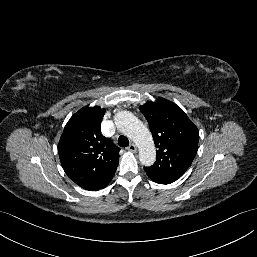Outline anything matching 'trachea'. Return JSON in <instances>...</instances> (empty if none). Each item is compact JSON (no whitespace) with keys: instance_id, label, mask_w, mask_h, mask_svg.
I'll list each match as a JSON object with an SVG mask.
<instances>
[{"instance_id":"trachea-1","label":"trachea","mask_w":257,"mask_h":257,"mask_svg":"<svg viewBox=\"0 0 257 257\" xmlns=\"http://www.w3.org/2000/svg\"><path fill=\"white\" fill-rule=\"evenodd\" d=\"M118 144L120 147H127L129 145V140L124 135L119 136Z\"/></svg>"}]
</instances>
